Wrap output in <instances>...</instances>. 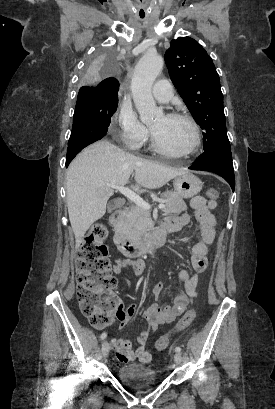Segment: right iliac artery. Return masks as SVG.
Returning <instances> with one entry per match:
<instances>
[{"instance_id": "82829eb1", "label": "right iliac artery", "mask_w": 275, "mask_h": 409, "mask_svg": "<svg viewBox=\"0 0 275 409\" xmlns=\"http://www.w3.org/2000/svg\"><path fill=\"white\" fill-rule=\"evenodd\" d=\"M106 337H107V334H106L105 332H103V333L100 335V340H104Z\"/></svg>"}]
</instances>
